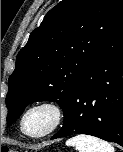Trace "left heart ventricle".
Returning <instances> with one entry per match:
<instances>
[{
  "mask_svg": "<svg viewBox=\"0 0 123 152\" xmlns=\"http://www.w3.org/2000/svg\"><path fill=\"white\" fill-rule=\"evenodd\" d=\"M53 115L48 109H36L25 120V128L29 133L39 134L45 131L52 123Z\"/></svg>",
  "mask_w": 123,
  "mask_h": 152,
  "instance_id": "1",
  "label": "left heart ventricle"
}]
</instances>
